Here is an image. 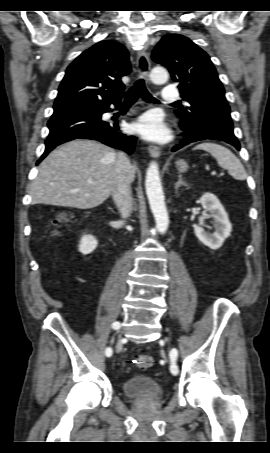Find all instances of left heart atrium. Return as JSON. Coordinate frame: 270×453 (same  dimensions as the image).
<instances>
[{
  "instance_id": "obj_1",
  "label": "left heart atrium",
  "mask_w": 270,
  "mask_h": 453,
  "mask_svg": "<svg viewBox=\"0 0 270 453\" xmlns=\"http://www.w3.org/2000/svg\"><path fill=\"white\" fill-rule=\"evenodd\" d=\"M134 130L143 137L151 140H165L168 138V130L165 124L155 114L142 116L134 125Z\"/></svg>"
}]
</instances>
